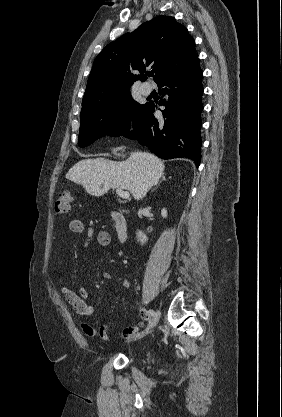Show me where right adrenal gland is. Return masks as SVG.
<instances>
[{"label": "right adrenal gland", "mask_w": 282, "mask_h": 417, "mask_svg": "<svg viewBox=\"0 0 282 417\" xmlns=\"http://www.w3.org/2000/svg\"><path fill=\"white\" fill-rule=\"evenodd\" d=\"M162 180H166L165 176H161V180H159V182H162ZM158 184H156L155 188H157ZM155 188H153V190H155ZM152 192V190H151Z\"/></svg>", "instance_id": "obj_1"}]
</instances>
